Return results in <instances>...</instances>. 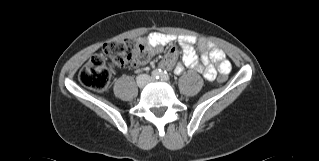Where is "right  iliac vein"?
I'll use <instances>...</instances> for the list:
<instances>
[{
	"instance_id": "right-iliac-vein-1",
	"label": "right iliac vein",
	"mask_w": 319,
	"mask_h": 161,
	"mask_svg": "<svg viewBox=\"0 0 319 161\" xmlns=\"http://www.w3.org/2000/svg\"><path fill=\"white\" fill-rule=\"evenodd\" d=\"M147 78L145 76H142L140 81H139V86H144V84L146 83Z\"/></svg>"
}]
</instances>
